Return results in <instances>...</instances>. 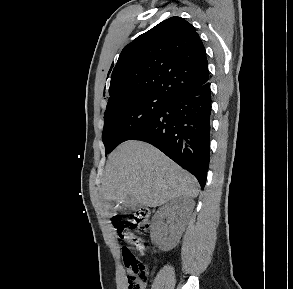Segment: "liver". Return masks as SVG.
I'll list each match as a JSON object with an SVG mask.
<instances>
[{
    "label": "liver",
    "mask_w": 293,
    "mask_h": 289,
    "mask_svg": "<svg viewBox=\"0 0 293 289\" xmlns=\"http://www.w3.org/2000/svg\"><path fill=\"white\" fill-rule=\"evenodd\" d=\"M100 193L105 202L122 203L132 195L147 207L163 205L179 196L196 197L197 180L154 146L127 141L108 157Z\"/></svg>",
    "instance_id": "6515ba94"
}]
</instances>
